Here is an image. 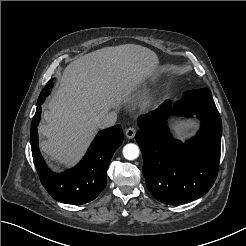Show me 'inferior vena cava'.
Wrapping results in <instances>:
<instances>
[{
	"label": "inferior vena cava",
	"instance_id": "602c4592",
	"mask_svg": "<svg viewBox=\"0 0 246 246\" xmlns=\"http://www.w3.org/2000/svg\"><path fill=\"white\" fill-rule=\"evenodd\" d=\"M117 115L114 112L103 115L97 122L100 128L111 127L116 123Z\"/></svg>",
	"mask_w": 246,
	"mask_h": 246
}]
</instances>
